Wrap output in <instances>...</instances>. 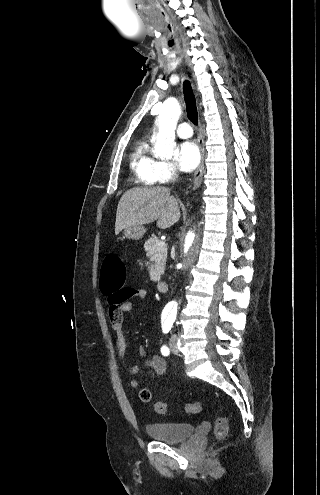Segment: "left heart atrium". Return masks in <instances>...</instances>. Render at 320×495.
<instances>
[{"label":"left heart atrium","mask_w":320,"mask_h":495,"mask_svg":"<svg viewBox=\"0 0 320 495\" xmlns=\"http://www.w3.org/2000/svg\"><path fill=\"white\" fill-rule=\"evenodd\" d=\"M200 159V150L195 142L185 141L179 145L177 161L182 171H193L200 163Z\"/></svg>","instance_id":"39dd6f15"}]
</instances>
